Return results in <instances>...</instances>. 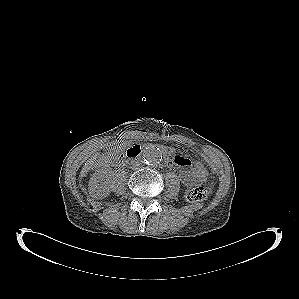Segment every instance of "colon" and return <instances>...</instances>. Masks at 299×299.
<instances>
[{
	"label": "colon",
	"instance_id": "5ec220e1",
	"mask_svg": "<svg viewBox=\"0 0 299 299\" xmlns=\"http://www.w3.org/2000/svg\"><path fill=\"white\" fill-rule=\"evenodd\" d=\"M192 173L196 183L204 182L208 177L206 167L201 163H194ZM208 192L205 187L197 186L187 190L185 197L190 203L203 202L207 198Z\"/></svg>",
	"mask_w": 299,
	"mask_h": 299
}]
</instances>
